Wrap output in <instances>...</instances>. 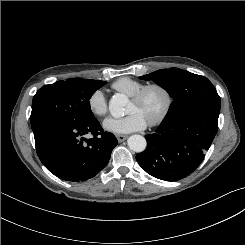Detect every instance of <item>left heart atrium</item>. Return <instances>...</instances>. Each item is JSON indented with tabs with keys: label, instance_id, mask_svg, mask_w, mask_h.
Instances as JSON below:
<instances>
[{
	"label": "left heart atrium",
	"instance_id": "left-heart-atrium-1",
	"mask_svg": "<svg viewBox=\"0 0 245 245\" xmlns=\"http://www.w3.org/2000/svg\"><path fill=\"white\" fill-rule=\"evenodd\" d=\"M104 128L112 133L124 134L145 128L146 120L138 112H130L120 118L109 117L103 123Z\"/></svg>",
	"mask_w": 245,
	"mask_h": 245
}]
</instances>
